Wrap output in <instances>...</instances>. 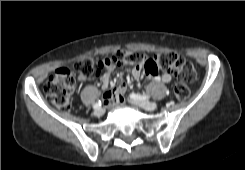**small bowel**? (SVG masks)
I'll use <instances>...</instances> for the list:
<instances>
[{
  "instance_id": "obj_1",
  "label": "small bowel",
  "mask_w": 245,
  "mask_h": 170,
  "mask_svg": "<svg viewBox=\"0 0 245 170\" xmlns=\"http://www.w3.org/2000/svg\"><path fill=\"white\" fill-rule=\"evenodd\" d=\"M161 77H162V80L165 82H168L170 80V75L167 71H163L161 73ZM105 83H108V78H105ZM120 94H122V92Z\"/></svg>"
}]
</instances>
